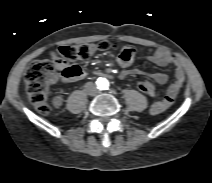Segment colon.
Listing matches in <instances>:
<instances>
[{
  "instance_id": "obj_1",
  "label": "colon",
  "mask_w": 212,
  "mask_h": 183,
  "mask_svg": "<svg viewBox=\"0 0 212 183\" xmlns=\"http://www.w3.org/2000/svg\"><path fill=\"white\" fill-rule=\"evenodd\" d=\"M117 45L109 41L97 43H84L79 45H65L52 52L49 59L32 63L24 75L25 90L30 103L41 114H48L49 86L54 81L56 70L65 65L62 76L71 79L78 75V67L68 62L87 59L98 52H107L116 49ZM137 88L144 94L154 97V85L149 80H139Z\"/></svg>"
}]
</instances>
